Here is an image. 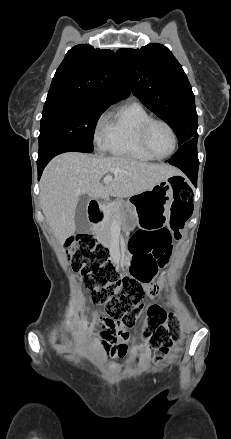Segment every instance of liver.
Masks as SVG:
<instances>
[{
	"instance_id": "obj_1",
	"label": "liver",
	"mask_w": 231,
	"mask_h": 439,
	"mask_svg": "<svg viewBox=\"0 0 231 439\" xmlns=\"http://www.w3.org/2000/svg\"><path fill=\"white\" fill-rule=\"evenodd\" d=\"M114 174L108 184L103 176ZM180 171L166 164L144 163L125 157H98L78 152L61 154L47 165L40 181L43 214L56 238L63 242L74 235L75 210L83 194L95 199L126 198Z\"/></svg>"
}]
</instances>
